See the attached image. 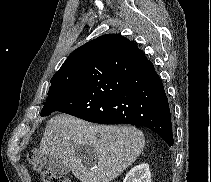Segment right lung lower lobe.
<instances>
[{
  "mask_svg": "<svg viewBox=\"0 0 211 182\" xmlns=\"http://www.w3.org/2000/svg\"><path fill=\"white\" fill-rule=\"evenodd\" d=\"M56 111L94 123L144 126L174 143L162 81L145 54L120 35L95 39L79 85L55 102Z\"/></svg>",
  "mask_w": 211,
  "mask_h": 182,
  "instance_id": "1",
  "label": "right lung lower lobe"
}]
</instances>
